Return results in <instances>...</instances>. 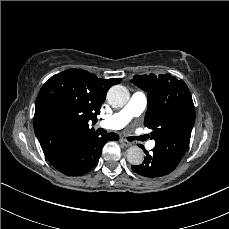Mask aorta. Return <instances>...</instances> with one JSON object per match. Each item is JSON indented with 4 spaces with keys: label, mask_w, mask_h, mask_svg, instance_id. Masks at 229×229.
<instances>
[{
    "label": "aorta",
    "mask_w": 229,
    "mask_h": 229,
    "mask_svg": "<svg viewBox=\"0 0 229 229\" xmlns=\"http://www.w3.org/2000/svg\"><path fill=\"white\" fill-rule=\"evenodd\" d=\"M130 93L122 85L112 86L107 93V101L113 107H123L129 101ZM127 161L132 165H140L144 160V152L138 146H132L126 152Z\"/></svg>",
    "instance_id": "obj_1"
}]
</instances>
